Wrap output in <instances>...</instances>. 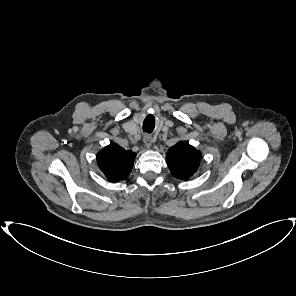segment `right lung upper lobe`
<instances>
[{
  "instance_id": "obj_1",
  "label": "right lung upper lobe",
  "mask_w": 296,
  "mask_h": 296,
  "mask_svg": "<svg viewBox=\"0 0 296 296\" xmlns=\"http://www.w3.org/2000/svg\"><path fill=\"white\" fill-rule=\"evenodd\" d=\"M136 154L118 145H108L97 155L100 169L111 182L126 179L132 169Z\"/></svg>"
}]
</instances>
